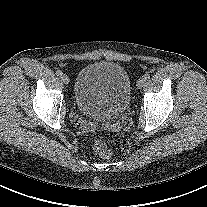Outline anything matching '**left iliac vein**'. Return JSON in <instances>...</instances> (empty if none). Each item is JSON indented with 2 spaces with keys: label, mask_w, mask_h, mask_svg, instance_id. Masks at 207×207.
<instances>
[{
  "label": "left iliac vein",
  "mask_w": 207,
  "mask_h": 207,
  "mask_svg": "<svg viewBox=\"0 0 207 207\" xmlns=\"http://www.w3.org/2000/svg\"><path fill=\"white\" fill-rule=\"evenodd\" d=\"M145 82L146 80L143 77L139 78L137 81V87L142 88L145 85Z\"/></svg>",
  "instance_id": "left-iliac-vein-1"
}]
</instances>
